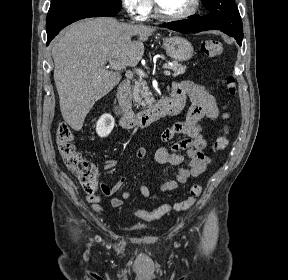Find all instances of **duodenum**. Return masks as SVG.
Returning a JSON list of instances; mask_svg holds the SVG:
<instances>
[{
    "instance_id": "1",
    "label": "duodenum",
    "mask_w": 288,
    "mask_h": 280,
    "mask_svg": "<svg viewBox=\"0 0 288 280\" xmlns=\"http://www.w3.org/2000/svg\"><path fill=\"white\" fill-rule=\"evenodd\" d=\"M117 98L121 109L120 124L127 130L146 128L167 115L177 114L183 106L182 101L174 98L160 99L149 108L134 113L131 109L130 83L127 79L121 81Z\"/></svg>"
}]
</instances>
